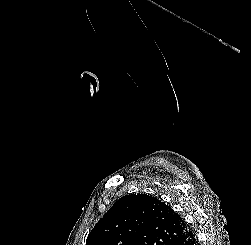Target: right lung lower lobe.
<instances>
[{"label": "right lung lower lobe", "mask_w": 251, "mask_h": 245, "mask_svg": "<svg viewBox=\"0 0 251 245\" xmlns=\"http://www.w3.org/2000/svg\"><path fill=\"white\" fill-rule=\"evenodd\" d=\"M169 245H198V243L195 234L188 228L184 235L172 241Z\"/></svg>", "instance_id": "98d812e1"}]
</instances>
